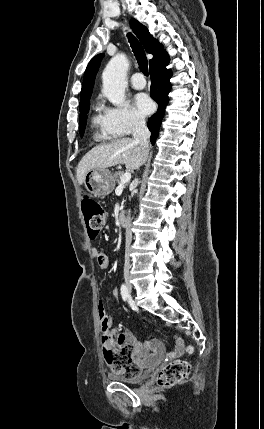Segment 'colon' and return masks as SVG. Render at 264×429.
Returning a JSON list of instances; mask_svg holds the SVG:
<instances>
[{
	"mask_svg": "<svg viewBox=\"0 0 264 429\" xmlns=\"http://www.w3.org/2000/svg\"><path fill=\"white\" fill-rule=\"evenodd\" d=\"M83 216L89 235L95 237L106 225L108 215L104 207L89 195L81 201ZM98 315L102 327L104 359L107 366L125 377H133L141 372L134 355V349L126 334L109 330V319L104 306L98 305ZM190 352L191 349L188 348ZM190 373V365L183 360H173L157 374L156 382L160 387H170L184 380Z\"/></svg>",
	"mask_w": 264,
	"mask_h": 429,
	"instance_id": "5ec220e1",
	"label": "colon"
}]
</instances>
